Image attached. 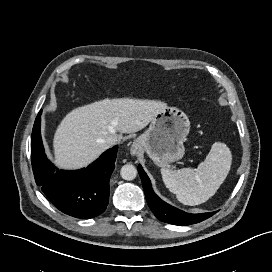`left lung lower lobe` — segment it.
I'll list each match as a JSON object with an SVG mask.
<instances>
[{"instance_id": "1", "label": "left lung lower lobe", "mask_w": 272, "mask_h": 272, "mask_svg": "<svg viewBox=\"0 0 272 272\" xmlns=\"http://www.w3.org/2000/svg\"><path fill=\"white\" fill-rule=\"evenodd\" d=\"M138 172L142 180L147 203L159 220L169 224L184 226L201 222L216 213L189 214L165 203L154 193L151 182L141 165L138 166Z\"/></svg>"}]
</instances>
